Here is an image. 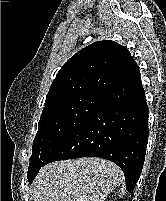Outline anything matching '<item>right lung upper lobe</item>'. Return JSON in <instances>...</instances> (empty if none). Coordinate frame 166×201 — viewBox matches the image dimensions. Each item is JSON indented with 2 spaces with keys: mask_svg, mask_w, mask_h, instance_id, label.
Returning a JSON list of instances; mask_svg holds the SVG:
<instances>
[{
  "mask_svg": "<svg viewBox=\"0 0 166 201\" xmlns=\"http://www.w3.org/2000/svg\"><path fill=\"white\" fill-rule=\"evenodd\" d=\"M128 49L114 41H99L81 49L57 73L44 110L82 95L104 96L135 67Z\"/></svg>",
  "mask_w": 166,
  "mask_h": 201,
  "instance_id": "cb5924a9",
  "label": "right lung upper lobe"
}]
</instances>
